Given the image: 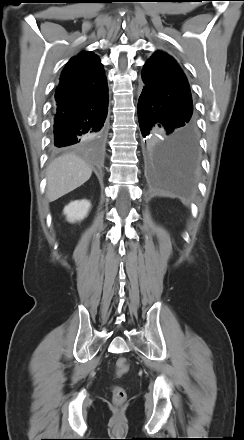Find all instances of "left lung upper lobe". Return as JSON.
<instances>
[{
	"label": "left lung upper lobe",
	"mask_w": 244,
	"mask_h": 440,
	"mask_svg": "<svg viewBox=\"0 0 244 440\" xmlns=\"http://www.w3.org/2000/svg\"><path fill=\"white\" fill-rule=\"evenodd\" d=\"M142 79L144 87L152 90L179 111L192 116L194 120L188 81L170 55L162 51L155 52L143 67Z\"/></svg>",
	"instance_id": "5c2ea615"
}]
</instances>
